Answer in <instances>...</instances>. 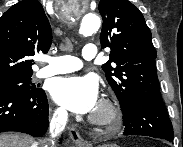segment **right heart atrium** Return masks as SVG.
<instances>
[{
    "label": "right heart atrium",
    "instance_id": "1",
    "mask_svg": "<svg viewBox=\"0 0 183 147\" xmlns=\"http://www.w3.org/2000/svg\"><path fill=\"white\" fill-rule=\"evenodd\" d=\"M53 118L56 122H62L65 119V112L62 109H57L54 112Z\"/></svg>",
    "mask_w": 183,
    "mask_h": 147
}]
</instances>
